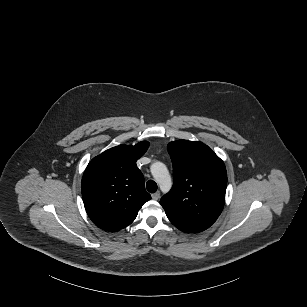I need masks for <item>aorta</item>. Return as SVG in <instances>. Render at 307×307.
I'll return each mask as SVG.
<instances>
[{
  "instance_id": "762f6f07",
  "label": "aorta",
  "mask_w": 307,
  "mask_h": 307,
  "mask_svg": "<svg viewBox=\"0 0 307 307\" xmlns=\"http://www.w3.org/2000/svg\"><path fill=\"white\" fill-rule=\"evenodd\" d=\"M150 171L156 183L159 185L160 190L163 193L169 192L172 187V180L167 166L157 161L151 164Z\"/></svg>"
}]
</instances>
